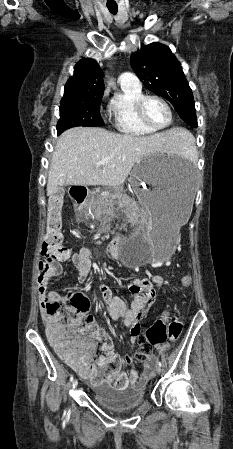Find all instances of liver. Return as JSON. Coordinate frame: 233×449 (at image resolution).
Masks as SVG:
<instances>
[{
	"instance_id": "obj_1",
	"label": "liver",
	"mask_w": 233,
	"mask_h": 449,
	"mask_svg": "<svg viewBox=\"0 0 233 449\" xmlns=\"http://www.w3.org/2000/svg\"><path fill=\"white\" fill-rule=\"evenodd\" d=\"M182 141L181 129L147 133L145 137L94 127L69 129L59 137L52 154L47 195L63 185L121 186L137 162L152 154L170 153ZM104 158L109 162L101 164Z\"/></svg>"
}]
</instances>
